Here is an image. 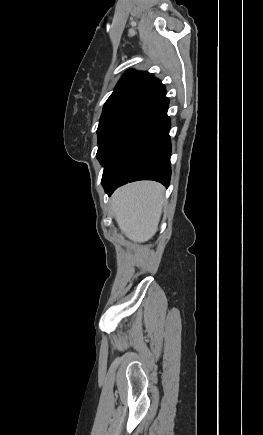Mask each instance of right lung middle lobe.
Instances as JSON below:
<instances>
[{
	"label": "right lung middle lobe",
	"mask_w": 263,
	"mask_h": 435,
	"mask_svg": "<svg viewBox=\"0 0 263 435\" xmlns=\"http://www.w3.org/2000/svg\"><path fill=\"white\" fill-rule=\"evenodd\" d=\"M143 107L140 104H118L103 108L97 130V158L104 167L115 155L125 131Z\"/></svg>",
	"instance_id": "dd1d6c3e"
}]
</instances>
